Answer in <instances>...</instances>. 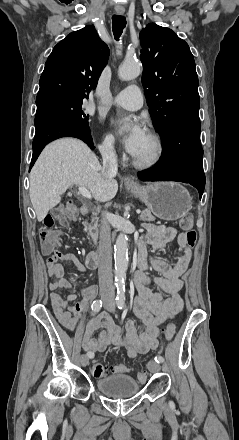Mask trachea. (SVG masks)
I'll list each match as a JSON object with an SVG mask.
<instances>
[{"mask_svg":"<svg viewBox=\"0 0 239 440\" xmlns=\"http://www.w3.org/2000/svg\"><path fill=\"white\" fill-rule=\"evenodd\" d=\"M125 26H126V18L125 17H123L122 15H113L112 29H113V35L117 41H118L119 37L121 36Z\"/></svg>","mask_w":239,"mask_h":440,"instance_id":"obj_1","label":"trachea"}]
</instances>
